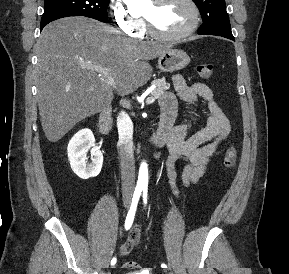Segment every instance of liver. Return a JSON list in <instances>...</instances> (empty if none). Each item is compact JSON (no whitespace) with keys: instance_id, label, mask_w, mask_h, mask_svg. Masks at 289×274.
Wrapping results in <instances>:
<instances>
[{"instance_id":"liver-1","label":"liver","mask_w":289,"mask_h":274,"mask_svg":"<svg viewBox=\"0 0 289 274\" xmlns=\"http://www.w3.org/2000/svg\"><path fill=\"white\" fill-rule=\"evenodd\" d=\"M35 50L41 125L46 138L57 142L112 102L114 88L95 67L107 68L117 89L128 94L149 81L148 61L169 47L124 37L90 18L67 17L43 29Z\"/></svg>"}]
</instances>
